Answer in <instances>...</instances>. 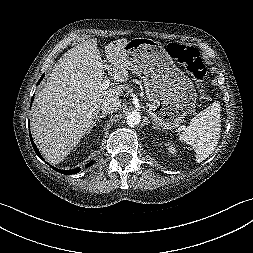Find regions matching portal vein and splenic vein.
Returning <instances> with one entry per match:
<instances>
[{"instance_id":"18ae733b","label":"portal vein and splenic vein","mask_w":253,"mask_h":253,"mask_svg":"<svg viewBox=\"0 0 253 253\" xmlns=\"http://www.w3.org/2000/svg\"><path fill=\"white\" fill-rule=\"evenodd\" d=\"M105 68L110 70L109 66L105 65ZM109 73L111 74V72L109 71ZM110 79L106 78L105 81L102 83V88L103 89H107L110 86Z\"/></svg>"}]
</instances>
